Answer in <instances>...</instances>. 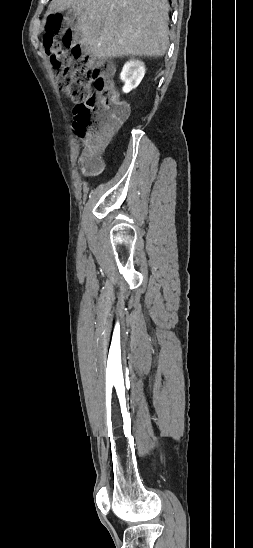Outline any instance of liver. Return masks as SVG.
Here are the masks:
<instances>
[{
  "label": "liver",
  "mask_w": 253,
  "mask_h": 548,
  "mask_svg": "<svg viewBox=\"0 0 253 548\" xmlns=\"http://www.w3.org/2000/svg\"><path fill=\"white\" fill-rule=\"evenodd\" d=\"M75 11L80 44L94 57L163 56L169 45L167 0H52L47 14Z\"/></svg>",
  "instance_id": "liver-1"
}]
</instances>
